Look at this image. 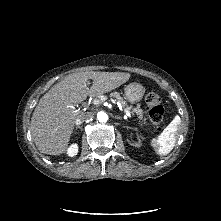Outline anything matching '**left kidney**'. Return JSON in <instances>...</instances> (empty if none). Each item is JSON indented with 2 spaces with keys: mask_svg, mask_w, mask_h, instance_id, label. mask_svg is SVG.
Masks as SVG:
<instances>
[{
  "mask_svg": "<svg viewBox=\"0 0 221 221\" xmlns=\"http://www.w3.org/2000/svg\"><path fill=\"white\" fill-rule=\"evenodd\" d=\"M139 138V137H138ZM134 147H140L141 146V142H140V139H139V141L137 142V143H135V144H132Z\"/></svg>",
  "mask_w": 221,
  "mask_h": 221,
  "instance_id": "obj_1",
  "label": "left kidney"
}]
</instances>
